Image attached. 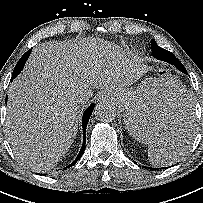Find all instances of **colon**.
<instances>
[{"instance_id":"obj_1","label":"colon","mask_w":203,"mask_h":203,"mask_svg":"<svg viewBox=\"0 0 203 203\" xmlns=\"http://www.w3.org/2000/svg\"><path fill=\"white\" fill-rule=\"evenodd\" d=\"M168 73V69L164 66L160 67L159 69V75L160 76H165Z\"/></svg>"}]
</instances>
